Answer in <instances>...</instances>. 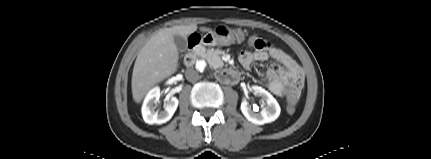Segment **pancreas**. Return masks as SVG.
<instances>
[{
	"label": "pancreas",
	"mask_w": 431,
	"mask_h": 159,
	"mask_svg": "<svg viewBox=\"0 0 431 159\" xmlns=\"http://www.w3.org/2000/svg\"><path fill=\"white\" fill-rule=\"evenodd\" d=\"M220 54L221 51L219 49H202L199 51V55L214 68L220 67L223 64Z\"/></svg>",
	"instance_id": "cf45deb5"
}]
</instances>
